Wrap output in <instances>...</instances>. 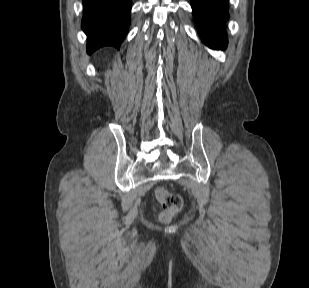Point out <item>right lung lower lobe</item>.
I'll list each match as a JSON object with an SVG mask.
<instances>
[{
  "label": "right lung lower lobe",
  "mask_w": 309,
  "mask_h": 288,
  "mask_svg": "<svg viewBox=\"0 0 309 288\" xmlns=\"http://www.w3.org/2000/svg\"><path fill=\"white\" fill-rule=\"evenodd\" d=\"M82 29L87 52L103 46L120 48L130 24L131 0H82Z\"/></svg>",
  "instance_id": "98d812e1"
}]
</instances>
